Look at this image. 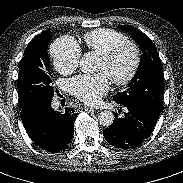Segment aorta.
<instances>
[{
  "label": "aorta",
  "mask_w": 183,
  "mask_h": 183,
  "mask_svg": "<svg viewBox=\"0 0 183 183\" xmlns=\"http://www.w3.org/2000/svg\"><path fill=\"white\" fill-rule=\"evenodd\" d=\"M97 57L93 52L85 53L80 60V69L84 73H91L96 70ZM99 122L103 126H110L114 121V115L111 111L105 110L99 114Z\"/></svg>",
  "instance_id": "1"
}]
</instances>
